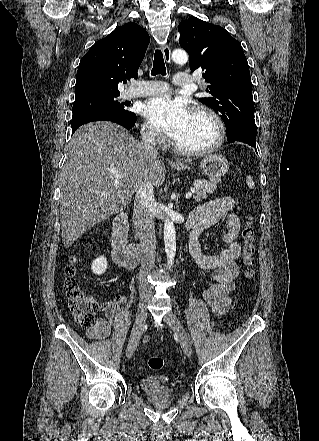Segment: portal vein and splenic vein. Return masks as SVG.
Listing matches in <instances>:
<instances>
[{
	"label": "portal vein and splenic vein",
	"mask_w": 319,
	"mask_h": 441,
	"mask_svg": "<svg viewBox=\"0 0 319 441\" xmlns=\"http://www.w3.org/2000/svg\"><path fill=\"white\" fill-rule=\"evenodd\" d=\"M112 174L114 176L115 179L117 180H121V179H125L127 178V174L122 172V171H112ZM193 191H190L186 194V199L191 198Z\"/></svg>",
	"instance_id": "18ae733b"
}]
</instances>
